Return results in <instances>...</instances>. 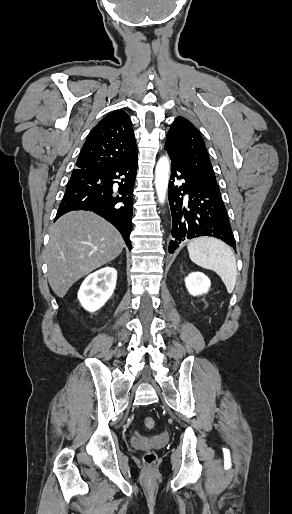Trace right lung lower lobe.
<instances>
[{"instance_id":"1","label":"right lung lower lobe","mask_w":292,"mask_h":514,"mask_svg":"<svg viewBox=\"0 0 292 514\" xmlns=\"http://www.w3.org/2000/svg\"><path fill=\"white\" fill-rule=\"evenodd\" d=\"M137 164L136 156L105 169L73 170L55 220L73 210L93 211L112 223L131 249L129 235L133 213L132 190Z\"/></svg>"}]
</instances>
